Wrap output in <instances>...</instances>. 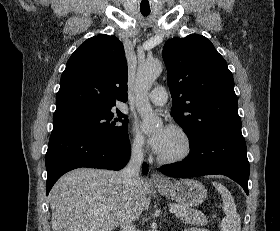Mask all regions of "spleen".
Returning a JSON list of instances; mask_svg holds the SVG:
<instances>
[{"label":"spleen","instance_id":"1","mask_svg":"<svg viewBox=\"0 0 280 231\" xmlns=\"http://www.w3.org/2000/svg\"><path fill=\"white\" fill-rule=\"evenodd\" d=\"M213 185L221 193L223 199L225 217L221 221V231H240L241 219L239 213H237L234 197L222 183L213 181Z\"/></svg>","mask_w":280,"mask_h":231}]
</instances>
